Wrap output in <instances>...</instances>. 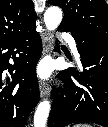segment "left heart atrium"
Instances as JSON below:
<instances>
[{"label": "left heart atrium", "instance_id": "1", "mask_svg": "<svg viewBox=\"0 0 108 127\" xmlns=\"http://www.w3.org/2000/svg\"><path fill=\"white\" fill-rule=\"evenodd\" d=\"M51 65L49 62H42L37 69V73L40 78L47 79L51 75Z\"/></svg>", "mask_w": 108, "mask_h": 127}]
</instances>
